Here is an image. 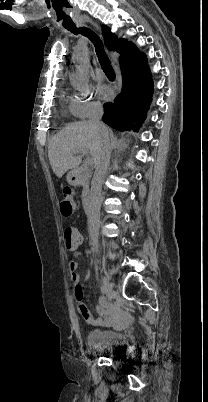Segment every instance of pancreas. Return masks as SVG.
<instances>
[{"mask_svg": "<svg viewBox=\"0 0 208 402\" xmlns=\"http://www.w3.org/2000/svg\"><path fill=\"white\" fill-rule=\"evenodd\" d=\"M87 178H90L91 172H86V170H81ZM89 194V180H84L83 182V190H82V198H85V196H88Z\"/></svg>", "mask_w": 208, "mask_h": 402, "instance_id": "cf45deb5", "label": "pancreas"}]
</instances>
